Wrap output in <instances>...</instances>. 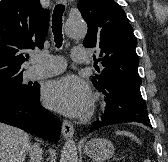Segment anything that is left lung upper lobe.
<instances>
[{
	"mask_svg": "<svg viewBox=\"0 0 168 162\" xmlns=\"http://www.w3.org/2000/svg\"><path fill=\"white\" fill-rule=\"evenodd\" d=\"M78 9L88 25L83 45L96 47L104 66L93 85L99 91L117 83L139 88L137 39L121 6L114 0H79Z\"/></svg>",
	"mask_w": 168,
	"mask_h": 162,
	"instance_id": "5c2ea615",
	"label": "left lung upper lobe"
}]
</instances>
